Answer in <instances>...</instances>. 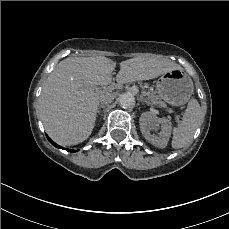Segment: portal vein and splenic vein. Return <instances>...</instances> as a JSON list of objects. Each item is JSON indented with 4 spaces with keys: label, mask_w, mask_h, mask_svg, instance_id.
<instances>
[{
    "label": "portal vein and splenic vein",
    "mask_w": 229,
    "mask_h": 229,
    "mask_svg": "<svg viewBox=\"0 0 229 229\" xmlns=\"http://www.w3.org/2000/svg\"><path fill=\"white\" fill-rule=\"evenodd\" d=\"M113 86H114V85L109 86V87H110V89H112V88H113Z\"/></svg>",
    "instance_id": "obj_1"
}]
</instances>
